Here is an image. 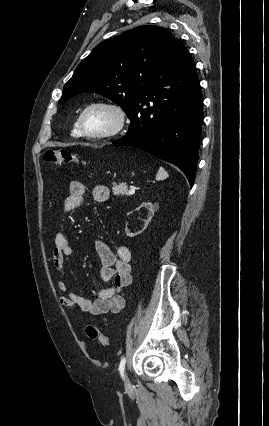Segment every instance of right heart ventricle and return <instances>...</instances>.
<instances>
[{
	"mask_svg": "<svg viewBox=\"0 0 269 426\" xmlns=\"http://www.w3.org/2000/svg\"><path fill=\"white\" fill-rule=\"evenodd\" d=\"M72 135L75 136V137H79L81 135L80 132H79V129H78L77 122H75L74 125H73Z\"/></svg>",
	"mask_w": 269,
	"mask_h": 426,
	"instance_id": "1",
	"label": "right heart ventricle"
}]
</instances>
